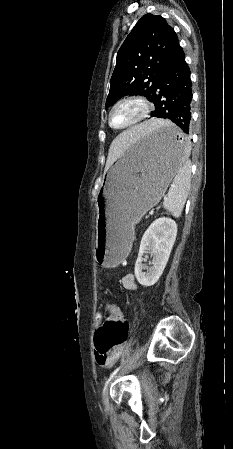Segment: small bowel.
I'll use <instances>...</instances> for the list:
<instances>
[{
  "label": "small bowel",
  "mask_w": 233,
  "mask_h": 449,
  "mask_svg": "<svg viewBox=\"0 0 233 449\" xmlns=\"http://www.w3.org/2000/svg\"><path fill=\"white\" fill-rule=\"evenodd\" d=\"M121 283H122V286L127 290H136L137 289L134 275L131 273L125 274L122 277ZM95 323H96V326L98 329H100L103 326V315L100 312H97L95 314ZM123 348H124L123 346H120L104 355H102V354L99 355V354L95 353L96 363L101 367L111 368L118 360Z\"/></svg>",
  "instance_id": "obj_1"
}]
</instances>
